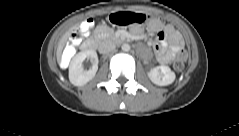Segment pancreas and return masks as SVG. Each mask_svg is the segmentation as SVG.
Instances as JSON below:
<instances>
[{"label":"pancreas","instance_id":"1","mask_svg":"<svg viewBox=\"0 0 239 136\" xmlns=\"http://www.w3.org/2000/svg\"><path fill=\"white\" fill-rule=\"evenodd\" d=\"M101 32H103V34L101 35V38H109V37H113V31L108 29L107 27H100L99 29Z\"/></svg>","mask_w":239,"mask_h":136}]
</instances>
